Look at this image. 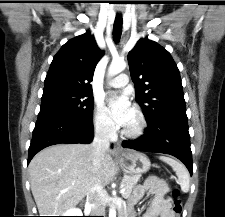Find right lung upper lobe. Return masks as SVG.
<instances>
[{"mask_svg":"<svg viewBox=\"0 0 225 217\" xmlns=\"http://www.w3.org/2000/svg\"><path fill=\"white\" fill-rule=\"evenodd\" d=\"M103 52L89 32L64 44L54 56L43 93L70 91L89 94L95 67Z\"/></svg>","mask_w":225,"mask_h":217,"instance_id":"right-lung-upper-lobe-1","label":"right lung upper lobe"}]
</instances>
